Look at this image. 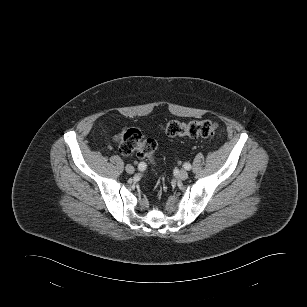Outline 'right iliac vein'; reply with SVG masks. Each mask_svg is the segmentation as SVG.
<instances>
[{"label":"right iliac vein","mask_w":307,"mask_h":307,"mask_svg":"<svg viewBox=\"0 0 307 307\" xmlns=\"http://www.w3.org/2000/svg\"><path fill=\"white\" fill-rule=\"evenodd\" d=\"M126 172L129 173V174H133L135 169L133 166L131 165H127L126 168H125Z\"/></svg>","instance_id":"63e3f726"}]
</instances>
